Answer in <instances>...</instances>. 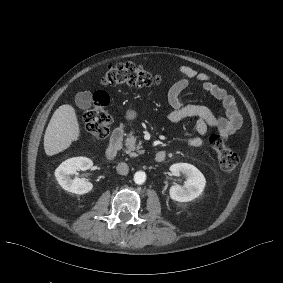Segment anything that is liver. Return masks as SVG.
<instances>
[{"mask_svg": "<svg viewBox=\"0 0 283 283\" xmlns=\"http://www.w3.org/2000/svg\"><path fill=\"white\" fill-rule=\"evenodd\" d=\"M81 126L76 109L63 104L54 112L44 136V151L48 157L60 154L78 142Z\"/></svg>", "mask_w": 283, "mask_h": 283, "instance_id": "6515ba94", "label": "liver"}]
</instances>
